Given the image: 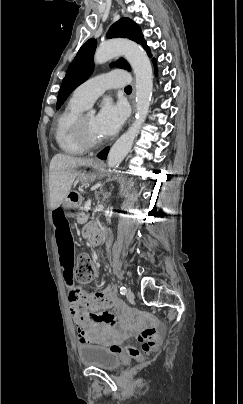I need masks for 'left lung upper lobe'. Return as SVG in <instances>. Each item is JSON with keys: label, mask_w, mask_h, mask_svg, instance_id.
<instances>
[{"label": "left lung upper lobe", "mask_w": 243, "mask_h": 404, "mask_svg": "<svg viewBox=\"0 0 243 404\" xmlns=\"http://www.w3.org/2000/svg\"><path fill=\"white\" fill-rule=\"evenodd\" d=\"M128 38L141 44L151 56L150 49L146 44L140 27L129 18H121L114 23L108 33L107 38ZM97 46L95 39H89L79 49L76 57L71 62L64 77L57 99L56 108L58 109L71 92L80 84L86 81L93 72V55ZM116 67L130 70L129 64L124 59H119L116 62Z\"/></svg>", "instance_id": "left-lung-upper-lobe-1"}]
</instances>
